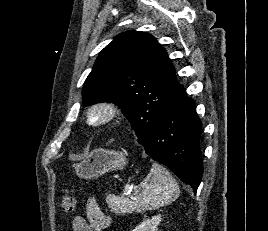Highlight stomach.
<instances>
[{
	"mask_svg": "<svg viewBox=\"0 0 268 231\" xmlns=\"http://www.w3.org/2000/svg\"><path fill=\"white\" fill-rule=\"evenodd\" d=\"M126 156V153L120 151L95 149L74 165L76 175L84 179H95L106 172L121 170L127 164Z\"/></svg>",
	"mask_w": 268,
	"mask_h": 231,
	"instance_id": "obj_1",
	"label": "stomach"
}]
</instances>
